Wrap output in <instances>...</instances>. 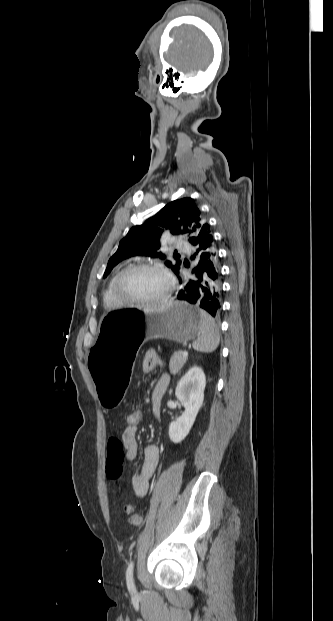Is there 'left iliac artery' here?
<instances>
[{"label": "left iliac artery", "mask_w": 333, "mask_h": 621, "mask_svg": "<svg viewBox=\"0 0 333 621\" xmlns=\"http://www.w3.org/2000/svg\"><path fill=\"white\" fill-rule=\"evenodd\" d=\"M133 569H134V562L131 561L127 567V571H126V583L127 586L130 590L134 589V580H133Z\"/></svg>", "instance_id": "1"}]
</instances>
